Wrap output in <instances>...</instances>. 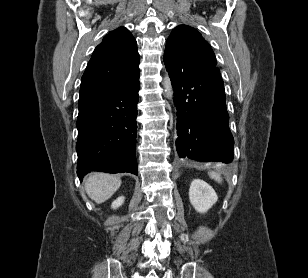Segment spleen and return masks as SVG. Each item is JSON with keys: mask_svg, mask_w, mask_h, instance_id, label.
I'll return each mask as SVG.
<instances>
[{"mask_svg": "<svg viewBox=\"0 0 308 278\" xmlns=\"http://www.w3.org/2000/svg\"><path fill=\"white\" fill-rule=\"evenodd\" d=\"M209 176L214 179L215 181L221 183L222 182V178H221V175L217 172H210L209 173Z\"/></svg>", "mask_w": 308, "mask_h": 278, "instance_id": "obj_1", "label": "spleen"}]
</instances>
